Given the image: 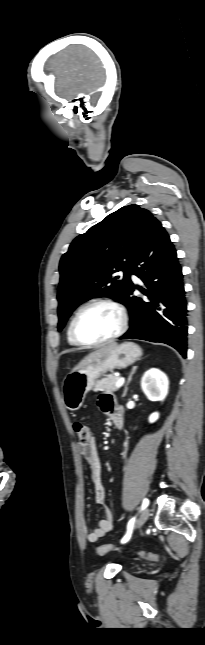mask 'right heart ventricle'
<instances>
[{"mask_svg":"<svg viewBox=\"0 0 205 645\" xmlns=\"http://www.w3.org/2000/svg\"><path fill=\"white\" fill-rule=\"evenodd\" d=\"M67 340H68V342H69V344H70V345H77V344L74 342V340L72 339V337H71V334H70V325H69L68 330H67Z\"/></svg>","mask_w":205,"mask_h":645,"instance_id":"1","label":"right heart ventricle"}]
</instances>
